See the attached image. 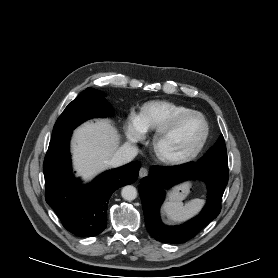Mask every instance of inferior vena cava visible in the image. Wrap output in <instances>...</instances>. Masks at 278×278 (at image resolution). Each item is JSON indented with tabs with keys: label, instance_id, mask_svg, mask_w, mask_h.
Wrapping results in <instances>:
<instances>
[{
	"label": "inferior vena cava",
	"instance_id": "obj_1",
	"mask_svg": "<svg viewBox=\"0 0 278 278\" xmlns=\"http://www.w3.org/2000/svg\"><path fill=\"white\" fill-rule=\"evenodd\" d=\"M137 154L138 150L135 146L124 144L115 152L110 161V164L113 167H118L133 160L137 156Z\"/></svg>",
	"mask_w": 278,
	"mask_h": 278
}]
</instances>
